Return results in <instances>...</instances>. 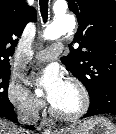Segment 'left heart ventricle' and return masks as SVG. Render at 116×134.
I'll return each instance as SVG.
<instances>
[{"instance_id":"obj_1","label":"left heart ventricle","mask_w":116,"mask_h":134,"mask_svg":"<svg viewBox=\"0 0 116 134\" xmlns=\"http://www.w3.org/2000/svg\"><path fill=\"white\" fill-rule=\"evenodd\" d=\"M78 103L79 100L76 92L67 85L63 97L57 104L54 105V107L62 112L69 113L74 111L78 107Z\"/></svg>"}]
</instances>
